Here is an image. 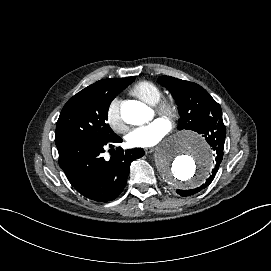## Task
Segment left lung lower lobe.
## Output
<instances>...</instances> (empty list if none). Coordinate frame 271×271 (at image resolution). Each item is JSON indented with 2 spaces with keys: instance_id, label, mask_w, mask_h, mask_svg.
Returning <instances> with one entry per match:
<instances>
[{
  "instance_id": "1",
  "label": "left lung lower lobe",
  "mask_w": 271,
  "mask_h": 271,
  "mask_svg": "<svg viewBox=\"0 0 271 271\" xmlns=\"http://www.w3.org/2000/svg\"><path fill=\"white\" fill-rule=\"evenodd\" d=\"M197 132L199 134H202L203 137H205L208 144L214 150L215 167L212 170L210 177L200 187L191 190H177V193L183 197L193 195L201 191L202 189L206 188L213 181L215 174L223 159V148L226 137V128L223 123L222 116L216 117L214 120L210 121L206 126L198 129Z\"/></svg>"
}]
</instances>
